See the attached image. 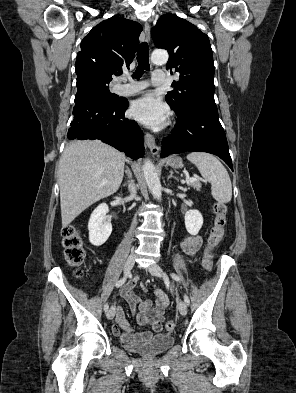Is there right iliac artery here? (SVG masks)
Returning a JSON list of instances; mask_svg holds the SVG:
<instances>
[{"label":"right iliac artery","mask_w":296,"mask_h":393,"mask_svg":"<svg viewBox=\"0 0 296 393\" xmlns=\"http://www.w3.org/2000/svg\"><path fill=\"white\" fill-rule=\"evenodd\" d=\"M127 276L123 277L122 279H120L119 281H117V283L115 284L116 287H120L122 286L125 282H126ZM109 309V305L105 304L104 305V310L108 311Z\"/></svg>","instance_id":"1"}]
</instances>
